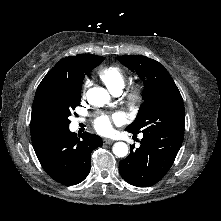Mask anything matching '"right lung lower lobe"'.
I'll return each mask as SVG.
<instances>
[{"instance_id":"98d812e1","label":"right lung lower lobe","mask_w":221,"mask_h":221,"mask_svg":"<svg viewBox=\"0 0 221 221\" xmlns=\"http://www.w3.org/2000/svg\"><path fill=\"white\" fill-rule=\"evenodd\" d=\"M102 146L101 137L72 133L69 128L33 143V148L46 173L64 185L82 182L90 172L91 152Z\"/></svg>"}]
</instances>
